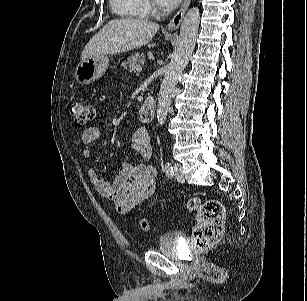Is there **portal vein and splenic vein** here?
<instances>
[{
    "instance_id": "1",
    "label": "portal vein and splenic vein",
    "mask_w": 307,
    "mask_h": 301,
    "mask_svg": "<svg viewBox=\"0 0 307 301\" xmlns=\"http://www.w3.org/2000/svg\"><path fill=\"white\" fill-rule=\"evenodd\" d=\"M136 71H137L138 73H140V72L142 71V66H138V67L136 68Z\"/></svg>"
}]
</instances>
